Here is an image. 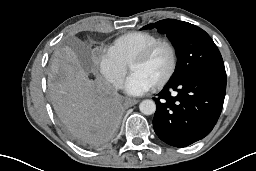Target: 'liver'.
<instances>
[{
  "instance_id": "1",
  "label": "liver",
  "mask_w": 256,
  "mask_h": 171,
  "mask_svg": "<svg viewBox=\"0 0 256 171\" xmlns=\"http://www.w3.org/2000/svg\"><path fill=\"white\" fill-rule=\"evenodd\" d=\"M63 68L64 69H67V70H72L71 66L68 64V62L66 64L63 65Z\"/></svg>"
}]
</instances>
